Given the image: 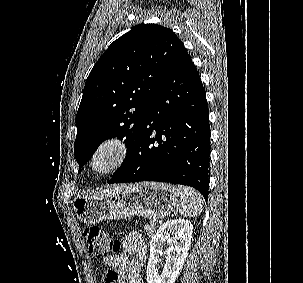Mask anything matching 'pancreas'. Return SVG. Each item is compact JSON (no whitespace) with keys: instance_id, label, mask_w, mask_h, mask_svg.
<instances>
[{"instance_id":"pancreas-1","label":"pancreas","mask_w":303,"mask_h":283,"mask_svg":"<svg viewBox=\"0 0 303 283\" xmlns=\"http://www.w3.org/2000/svg\"><path fill=\"white\" fill-rule=\"evenodd\" d=\"M144 229L146 230L147 234L150 237H153V235L155 234V232L157 230V227H156V224L152 221V222H150V224H146L144 226Z\"/></svg>"}]
</instances>
